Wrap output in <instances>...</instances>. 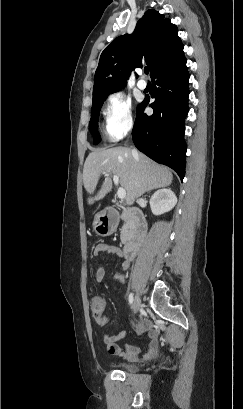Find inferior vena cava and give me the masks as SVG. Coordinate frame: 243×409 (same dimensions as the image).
<instances>
[{
  "label": "inferior vena cava",
  "mask_w": 243,
  "mask_h": 409,
  "mask_svg": "<svg viewBox=\"0 0 243 409\" xmlns=\"http://www.w3.org/2000/svg\"><path fill=\"white\" fill-rule=\"evenodd\" d=\"M132 153H133V154H137L136 149H133V150H132Z\"/></svg>",
  "instance_id": "inferior-vena-cava-1"
}]
</instances>
